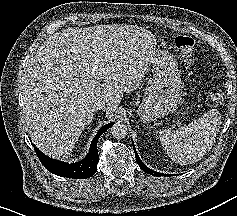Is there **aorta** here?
<instances>
[{
  "mask_svg": "<svg viewBox=\"0 0 237 216\" xmlns=\"http://www.w3.org/2000/svg\"><path fill=\"white\" fill-rule=\"evenodd\" d=\"M111 135L115 139H124L128 135V128L125 123L116 122L111 127Z\"/></svg>",
  "mask_w": 237,
  "mask_h": 216,
  "instance_id": "obj_1",
  "label": "aorta"
}]
</instances>
